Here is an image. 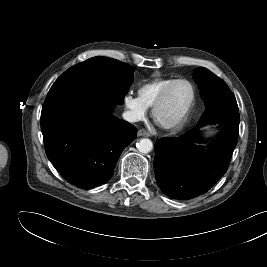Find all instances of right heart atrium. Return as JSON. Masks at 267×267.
<instances>
[{
    "label": "right heart atrium",
    "instance_id": "right-heart-atrium-1",
    "mask_svg": "<svg viewBox=\"0 0 267 267\" xmlns=\"http://www.w3.org/2000/svg\"><path fill=\"white\" fill-rule=\"evenodd\" d=\"M124 105L130 121L143 119L148 111V107L143 103L138 95L129 92L124 97Z\"/></svg>",
    "mask_w": 267,
    "mask_h": 267
}]
</instances>
